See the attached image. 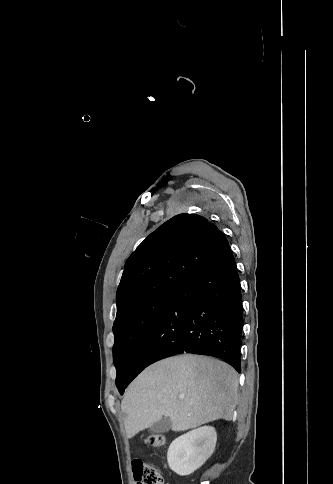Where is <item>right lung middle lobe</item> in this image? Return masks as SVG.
Instances as JSON below:
<instances>
[{
	"instance_id": "1",
	"label": "right lung middle lobe",
	"mask_w": 333,
	"mask_h": 484,
	"mask_svg": "<svg viewBox=\"0 0 333 484\" xmlns=\"http://www.w3.org/2000/svg\"><path fill=\"white\" fill-rule=\"evenodd\" d=\"M176 293L177 290L164 291L134 306L115 320L113 359L119 392H124L126 388L139 346Z\"/></svg>"
}]
</instances>
